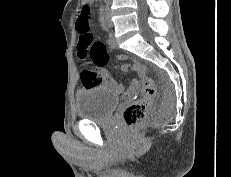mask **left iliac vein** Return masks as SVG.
Instances as JSON below:
<instances>
[{"mask_svg":"<svg viewBox=\"0 0 231 177\" xmlns=\"http://www.w3.org/2000/svg\"><path fill=\"white\" fill-rule=\"evenodd\" d=\"M105 24L109 28L113 27L109 5L107 6L106 11H105Z\"/></svg>","mask_w":231,"mask_h":177,"instance_id":"left-iliac-vein-1","label":"left iliac vein"}]
</instances>
